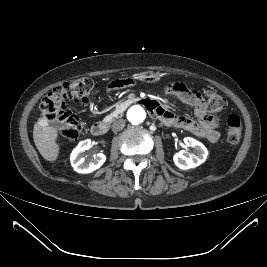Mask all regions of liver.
I'll list each match as a JSON object with an SVG mask.
<instances>
[{
  "instance_id": "obj_1",
  "label": "liver",
  "mask_w": 267,
  "mask_h": 267,
  "mask_svg": "<svg viewBox=\"0 0 267 267\" xmlns=\"http://www.w3.org/2000/svg\"><path fill=\"white\" fill-rule=\"evenodd\" d=\"M58 131L50 126L45 125L42 120L35 123L33 129L34 143L42 155L47 160L54 162L57 160L60 146L57 143Z\"/></svg>"
}]
</instances>
